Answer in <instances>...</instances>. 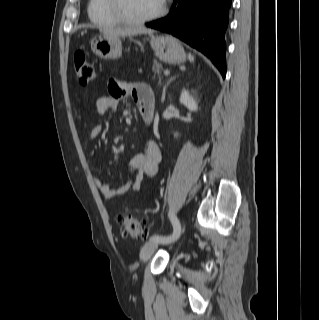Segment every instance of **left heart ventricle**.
I'll list each match as a JSON object with an SVG mask.
<instances>
[{
    "instance_id": "left-heart-ventricle-1",
    "label": "left heart ventricle",
    "mask_w": 319,
    "mask_h": 320,
    "mask_svg": "<svg viewBox=\"0 0 319 320\" xmlns=\"http://www.w3.org/2000/svg\"><path fill=\"white\" fill-rule=\"evenodd\" d=\"M162 0H122L125 12L132 17H146L156 12Z\"/></svg>"
}]
</instances>
